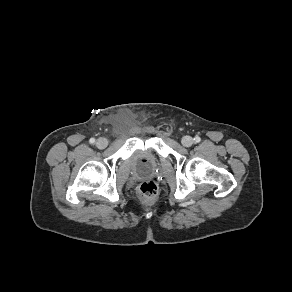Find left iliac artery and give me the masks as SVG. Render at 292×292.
<instances>
[{"instance_id": "44dca946", "label": "left iliac artery", "mask_w": 292, "mask_h": 292, "mask_svg": "<svg viewBox=\"0 0 292 292\" xmlns=\"http://www.w3.org/2000/svg\"><path fill=\"white\" fill-rule=\"evenodd\" d=\"M194 141H195L196 143H198V142L201 141V138H200L199 136H196V137L194 138Z\"/></svg>"}]
</instances>
